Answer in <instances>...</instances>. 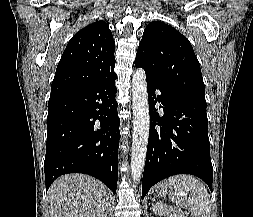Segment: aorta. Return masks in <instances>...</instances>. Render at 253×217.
<instances>
[{
	"label": "aorta",
	"instance_id": "762f6f07",
	"mask_svg": "<svg viewBox=\"0 0 253 217\" xmlns=\"http://www.w3.org/2000/svg\"><path fill=\"white\" fill-rule=\"evenodd\" d=\"M133 95V139L131 152V176L134 183L140 181L147 153L150 115L146 74L137 69L132 76Z\"/></svg>",
	"mask_w": 253,
	"mask_h": 217
}]
</instances>
